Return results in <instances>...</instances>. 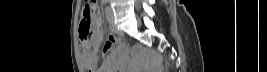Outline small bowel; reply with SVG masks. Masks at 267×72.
<instances>
[{
    "label": "small bowel",
    "instance_id": "1",
    "mask_svg": "<svg viewBox=\"0 0 267 72\" xmlns=\"http://www.w3.org/2000/svg\"><path fill=\"white\" fill-rule=\"evenodd\" d=\"M117 37L114 35L109 36L107 42L103 46L102 55L104 57V66L102 69L96 70L97 64V52L96 51H85L82 54V61L85 68L90 72H109L108 65L111 62V57L108 56V53L116 45Z\"/></svg>",
    "mask_w": 267,
    "mask_h": 72
}]
</instances>
